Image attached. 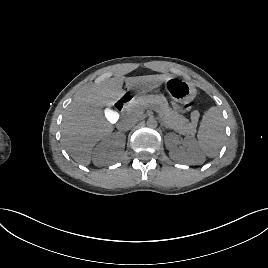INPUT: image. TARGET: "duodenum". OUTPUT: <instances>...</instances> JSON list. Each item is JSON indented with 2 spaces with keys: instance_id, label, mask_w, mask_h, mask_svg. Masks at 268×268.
<instances>
[{
  "instance_id": "1",
  "label": "duodenum",
  "mask_w": 268,
  "mask_h": 268,
  "mask_svg": "<svg viewBox=\"0 0 268 268\" xmlns=\"http://www.w3.org/2000/svg\"><path fill=\"white\" fill-rule=\"evenodd\" d=\"M131 99L132 95L130 93H125L121 95L115 103L116 109L119 111L122 110Z\"/></svg>"
}]
</instances>
